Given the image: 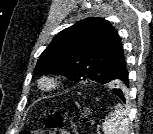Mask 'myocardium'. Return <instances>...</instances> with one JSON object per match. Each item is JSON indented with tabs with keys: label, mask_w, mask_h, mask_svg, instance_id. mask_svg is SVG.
Segmentation results:
<instances>
[{
	"label": "myocardium",
	"mask_w": 153,
	"mask_h": 134,
	"mask_svg": "<svg viewBox=\"0 0 153 134\" xmlns=\"http://www.w3.org/2000/svg\"><path fill=\"white\" fill-rule=\"evenodd\" d=\"M62 79L54 74L42 75L38 80V88L46 93L58 90L62 86Z\"/></svg>",
	"instance_id": "f54148a6"
}]
</instances>
